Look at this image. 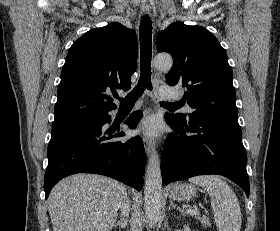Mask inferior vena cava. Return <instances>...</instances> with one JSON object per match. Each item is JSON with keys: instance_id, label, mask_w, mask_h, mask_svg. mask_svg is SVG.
<instances>
[{"instance_id": "602c4592", "label": "inferior vena cava", "mask_w": 280, "mask_h": 231, "mask_svg": "<svg viewBox=\"0 0 280 231\" xmlns=\"http://www.w3.org/2000/svg\"><path fill=\"white\" fill-rule=\"evenodd\" d=\"M120 207H121V215H123V217H128L130 211L129 199H123V201H121Z\"/></svg>"}]
</instances>
